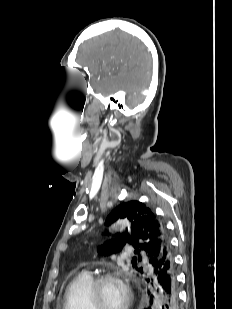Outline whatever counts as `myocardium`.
Returning <instances> with one entry per match:
<instances>
[{
    "label": "myocardium",
    "instance_id": "myocardium-1",
    "mask_svg": "<svg viewBox=\"0 0 232 309\" xmlns=\"http://www.w3.org/2000/svg\"><path fill=\"white\" fill-rule=\"evenodd\" d=\"M108 281H116L124 287L127 294V301L124 306V309H131L133 304V292L130 284L125 279V276L121 271L105 272L97 275L93 279L88 293V300L91 309H102V306L100 304V289L102 285Z\"/></svg>",
    "mask_w": 232,
    "mask_h": 309
}]
</instances>
